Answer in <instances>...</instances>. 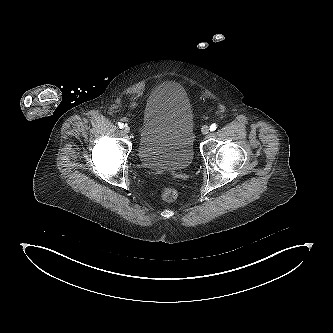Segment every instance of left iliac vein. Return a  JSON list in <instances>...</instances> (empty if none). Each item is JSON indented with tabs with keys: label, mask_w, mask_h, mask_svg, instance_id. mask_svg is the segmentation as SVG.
Returning <instances> with one entry per match:
<instances>
[{
	"label": "left iliac vein",
	"mask_w": 333,
	"mask_h": 333,
	"mask_svg": "<svg viewBox=\"0 0 333 333\" xmlns=\"http://www.w3.org/2000/svg\"><path fill=\"white\" fill-rule=\"evenodd\" d=\"M201 132H202V134H204V135L208 134V133H209V128H208V126H207V125L202 126V128H201Z\"/></svg>",
	"instance_id": "4c4485c4"
}]
</instances>
